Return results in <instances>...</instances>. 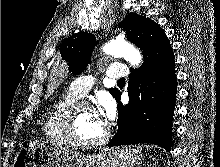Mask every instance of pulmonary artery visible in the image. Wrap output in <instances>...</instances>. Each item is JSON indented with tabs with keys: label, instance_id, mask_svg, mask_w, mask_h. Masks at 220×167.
Listing matches in <instances>:
<instances>
[{
	"label": "pulmonary artery",
	"instance_id": "e3ab8cb5",
	"mask_svg": "<svg viewBox=\"0 0 220 167\" xmlns=\"http://www.w3.org/2000/svg\"><path fill=\"white\" fill-rule=\"evenodd\" d=\"M129 69L124 64H112L106 69V76L109 79H120L127 76ZM94 85V80L90 76H80L76 78L70 87V91L76 96L84 97Z\"/></svg>",
	"mask_w": 220,
	"mask_h": 167
}]
</instances>
